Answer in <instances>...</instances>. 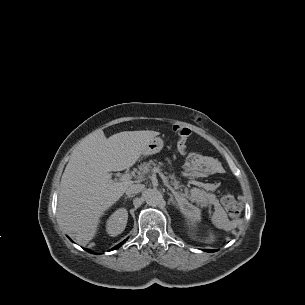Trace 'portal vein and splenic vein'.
Masks as SVG:
<instances>
[{
	"mask_svg": "<svg viewBox=\"0 0 305 305\" xmlns=\"http://www.w3.org/2000/svg\"><path fill=\"white\" fill-rule=\"evenodd\" d=\"M153 172L158 173L159 176L161 177V179L163 180L164 184L166 186H168L175 193L174 189L169 185L167 177L161 172V170L159 168H154ZM119 179L121 181H128V180L132 179V176L130 174H123ZM180 200L185 202L186 204H188V201L185 198H180Z\"/></svg>",
	"mask_w": 305,
	"mask_h": 305,
	"instance_id": "obj_1",
	"label": "portal vein and splenic vein"
}]
</instances>
